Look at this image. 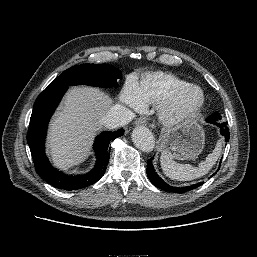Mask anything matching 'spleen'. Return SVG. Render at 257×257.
<instances>
[{
    "label": "spleen",
    "instance_id": "spleen-1",
    "mask_svg": "<svg viewBox=\"0 0 257 257\" xmlns=\"http://www.w3.org/2000/svg\"><path fill=\"white\" fill-rule=\"evenodd\" d=\"M221 151L222 141L219 140L212 153L207 155L206 160L200 162L198 167H193L190 164H180L175 162L170 153L163 150L160 157L161 168L164 174L173 180H193L207 174L209 170H211L221 155Z\"/></svg>",
    "mask_w": 257,
    "mask_h": 257
}]
</instances>
